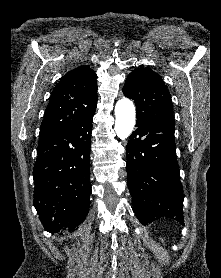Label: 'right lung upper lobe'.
Here are the masks:
<instances>
[{
  "mask_svg": "<svg viewBox=\"0 0 221 278\" xmlns=\"http://www.w3.org/2000/svg\"><path fill=\"white\" fill-rule=\"evenodd\" d=\"M97 106L96 74L80 66L61 77L52 91L40 128L43 143L65 128L95 112Z\"/></svg>",
  "mask_w": 221,
  "mask_h": 278,
  "instance_id": "obj_1",
  "label": "right lung upper lobe"
}]
</instances>
